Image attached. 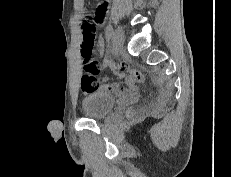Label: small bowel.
Listing matches in <instances>:
<instances>
[{"label":"small bowel","mask_w":231,"mask_h":177,"mask_svg":"<svg viewBox=\"0 0 231 177\" xmlns=\"http://www.w3.org/2000/svg\"><path fill=\"white\" fill-rule=\"evenodd\" d=\"M107 8H108V0H103L102 2H100L97 5V7L95 9V12L93 14V22H94L95 25H99L104 21ZM101 46H102L101 42H99L98 47H99L100 52H101ZM103 66H104V68H108V69H111V70L115 69V65L109 60H105L104 63H103ZM126 84L129 87H132L133 80H132L131 77H128L126 79ZM108 86L110 87V89H109L110 91H115V90L119 89V85L116 82H114V83H112V84H110Z\"/></svg>","instance_id":"small-bowel-1"}]
</instances>
